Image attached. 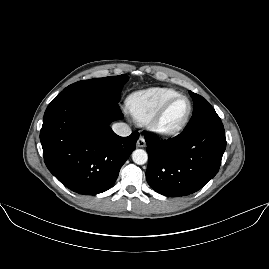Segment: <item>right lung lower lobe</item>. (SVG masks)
Segmentation results:
<instances>
[{
	"label": "right lung lower lobe",
	"instance_id": "1",
	"mask_svg": "<svg viewBox=\"0 0 269 269\" xmlns=\"http://www.w3.org/2000/svg\"><path fill=\"white\" fill-rule=\"evenodd\" d=\"M123 118L118 102L84 93H59L48 105L40 131L44 161L67 188L94 195L115 183L136 148L138 132L116 135L111 122Z\"/></svg>",
	"mask_w": 269,
	"mask_h": 269
}]
</instances>
